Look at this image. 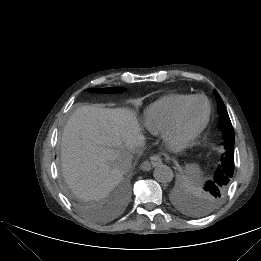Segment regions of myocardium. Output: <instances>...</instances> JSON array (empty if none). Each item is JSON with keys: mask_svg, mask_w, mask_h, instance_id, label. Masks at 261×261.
Instances as JSON below:
<instances>
[{"mask_svg": "<svg viewBox=\"0 0 261 261\" xmlns=\"http://www.w3.org/2000/svg\"><path fill=\"white\" fill-rule=\"evenodd\" d=\"M196 99H203L206 103V114L200 125L188 135H179L178 127L182 118V115L187 106ZM211 118V104L209 99L204 95H192L185 102H183L176 110L171 122L162 134L163 142L174 150H182L192 146L196 140L201 136L203 131L206 129Z\"/></svg>", "mask_w": 261, "mask_h": 261, "instance_id": "1", "label": "myocardium"}]
</instances>
